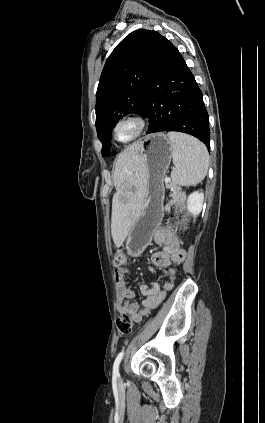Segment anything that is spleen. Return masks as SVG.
Instances as JSON below:
<instances>
[{
  "label": "spleen",
  "mask_w": 265,
  "mask_h": 423,
  "mask_svg": "<svg viewBox=\"0 0 265 423\" xmlns=\"http://www.w3.org/2000/svg\"><path fill=\"white\" fill-rule=\"evenodd\" d=\"M172 143L174 169L171 172L172 182L180 186L200 183L206 176L209 166L208 151L203 143L189 135L168 132Z\"/></svg>",
  "instance_id": "obj_1"
}]
</instances>
